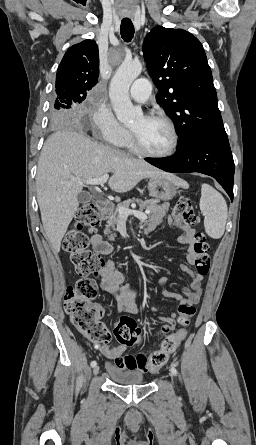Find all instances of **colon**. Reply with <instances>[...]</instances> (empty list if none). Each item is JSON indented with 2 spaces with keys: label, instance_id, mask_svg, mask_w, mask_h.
Masks as SVG:
<instances>
[{
  "label": "colon",
  "instance_id": "colon-1",
  "mask_svg": "<svg viewBox=\"0 0 256 445\" xmlns=\"http://www.w3.org/2000/svg\"><path fill=\"white\" fill-rule=\"evenodd\" d=\"M198 222L191 201L181 197L174 206L171 224L176 228L193 226ZM100 224L99 205L93 201L87 202L79 209L73 228L67 233L62 242L64 252L68 253L74 269L80 279L68 287L64 297V307L70 316L73 327L95 344L109 343L111 334L100 321V308L94 304L98 289L91 275L99 273L104 265L102 257L87 249L88 237L85 231H95ZM193 264L200 274H207L211 264L209 246L204 236L195 235L193 244ZM194 306H184L180 309L179 323L187 326L195 315ZM118 342L124 346H133L141 341V328L137 322L128 316L120 319L115 328ZM181 341V333L169 335L162 346L153 351L149 359V369L156 372L163 367L169 356L176 350ZM121 356L118 357V359Z\"/></svg>",
  "mask_w": 256,
  "mask_h": 445
}]
</instances>
